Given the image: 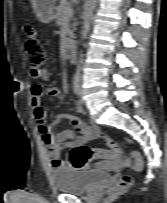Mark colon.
<instances>
[{"label":"colon","mask_w":167,"mask_h":203,"mask_svg":"<svg viewBox=\"0 0 167 203\" xmlns=\"http://www.w3.org/2000/svg\"><path fill=\"white\" fill-rule=\"evenodd\" d=\"M25 48L30 69L34 73L43 70L47 62L46 49L41 45L37 38L36 31L33 26L27 25ZM95 155L109 156L124 167H132L135 170H140L143 161L139 153L133 152L130 156L125 155L120 149H113L112 151L104 149H92L85 145H78L71 149L69 153V161L73 168L82 169L87 161ZM132 177L130 175H123L119 178L116 184L110 187V190L121 191L129 188L132 185Z\"/></svg>","instance_id":"obj_1"}]
</instances>
